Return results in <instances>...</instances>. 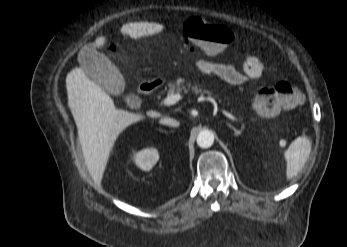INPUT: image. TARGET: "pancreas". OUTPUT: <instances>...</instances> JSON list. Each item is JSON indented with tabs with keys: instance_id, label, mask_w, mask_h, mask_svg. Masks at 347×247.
<instances>
[{
	"instance_id": "cf45deb5",
	"label": "pancreas",
	"mask_w": 347,
	"mask_h": 247,
	"mask_svg": "<svg viewBox=\"0 0 347 247\" xmlns=\"http://www.w3.org/2000/svg\"><path fill=\"white\" fill-rule=\"evenodd\" d=\"M167 87H168V95L171 94H176V93H181L182 91L184 93H188L189 90H192V92L194 94H201V95H208L211 96V92L208 90H203L201 89L199 86L197 85H191V82H187L185 84V79L182 78H178L175 81H169L167 83ZM226 100V99H225ZM227 105H229V103H227ZM240 120H243L242 117H240Z\"/></svg>"
}]
</instances>
